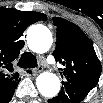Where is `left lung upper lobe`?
<instances>
[{"instance_id":"obj_1","label":"left lung upper lobe","mask_w":103,"mask_h":103,"mask_svg":"<svg viewBox=\"0 0 103 103\" xmlns=\"http://www.w3.org/2000/svg\"><path fill=\"white\" fill-rule=\"evenodd\" d=\"M53 20L57 30L53 55L64 65L61 69L65 79L63 85L69 83L94 88L99 81L101 65L90 40L74 23L59 17Z\"/></svg>"}]
</instances>
